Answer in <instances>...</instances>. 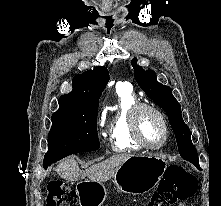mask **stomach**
<instances>
[{
    "label": "stomach",
    "instance_id": "1",
    "mask_svg": "<svg viewBox=\"0 0 221 206\" xmlns=\"http://www.w3.org/2000/svg\"><path fill=\"white\" fill-rule=\"evenodd\" d=\"M166 168L158 156L132 155L117 169L113 182L124 193L144 194L160 182ZM76 191L80 206H101L107 195L105 186L92 180L79 182Z\"/></svg>",
    "mask_w": 221,
    "mask_h": 206
}]
</instances>
